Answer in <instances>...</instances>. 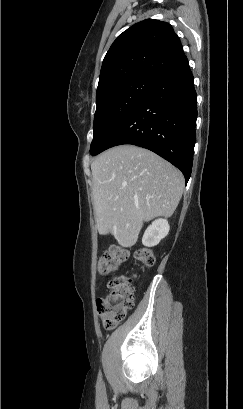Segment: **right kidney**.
I'll list each match as a JSON object with an SVG mask.
<instances>
[{"instance_id": "ca27d5eb", "label": "right kidney", "mask_w": 243, "mask_h": 409, "mask_svg": "<svg viewBox=\"0 0 243 409\" xmlns=\"http://www.w3.org/2000/svg\"><path fill=\"white\" fill-rule=\"evenodd\" d=\"M170 230V226L166 219H157L146 229L142 243L147 247H154L165 238Z\"/></svg>"}]
</instances>
